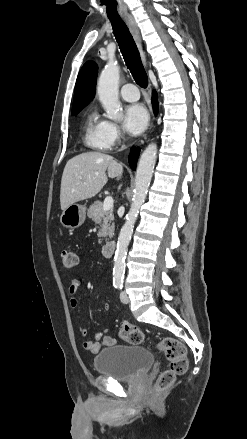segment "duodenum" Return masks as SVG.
Wrapping results in <instances>:
<instances>
[{
  "instance_id": "obj_1",
  "label": "duodenum",
  "mask_w": 247,
  "mask_h": 439,
  "mask_svg": "<svg viewBox=\"0 0 247 439\" xmlns=\"http://www.w3.org/2000/svg\"><path fill=\"white\" fill-rule=\"evenodd\" d=\"M116 249L115 242L108 241L102 246V254L105 257H111Z\"/></svg>"
}]
</instances>
